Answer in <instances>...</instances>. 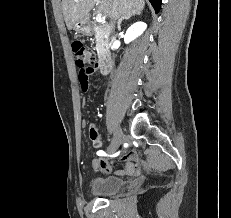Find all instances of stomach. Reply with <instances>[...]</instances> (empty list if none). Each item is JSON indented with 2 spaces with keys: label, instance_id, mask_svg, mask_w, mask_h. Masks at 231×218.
<instances>
[{
  "label": "stomach",
  "instance_id": "0dacf381",
  "mask_svg": "<svg viewBox=\"0 0 231 218\" xmlns=\"http://www.w3.org/2000/svg\"><path fill=\"white\" fill-rule=\"evenodd\" d=\"M73 29L79 34H86L88 32V26L86 20H81L73 25Z\"/></svg>",
  "mask_w": 231,
  "mask_h": 218
}]
</instances>
